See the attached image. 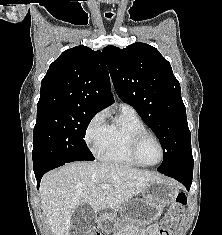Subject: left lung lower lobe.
<instances>
[{
    "label": "left lung lower lobe",
    "instance_id": "left-lung-lower-lobe-1",
    "mask_svg": "<svg viewBox=\"0 0 222 235\" xmlns=\"http://www.w3.org/2000/svg\"><path fill=\"white\" fill-rule=\"evenodd\" d=\"M159 172L178 180L189 191L193 179V170L179 169V170H169V171H159Z\"/></svg>",
    "mask_w": 222,
    "mask_h": 235
}]
</instances>
